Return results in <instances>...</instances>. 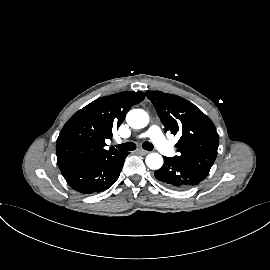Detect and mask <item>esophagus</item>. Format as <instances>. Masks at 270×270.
<instances>
[{"label": "esophagus", "mask_w": 270, "mask_h": 270, "mask_svg": "<svg viewBox=\"0 0 270 270\" xmlns=\"http://www.w3.org/2000/svg\"><path fill=\"white\" fill-rule=\"evenodd\" d=\"M138 153H140L141 155H146V154H148L149 152L146 151V150H143V149H139V150H138Z\"/></svg>", "instance_id": "obj_1"}]
</instances>
